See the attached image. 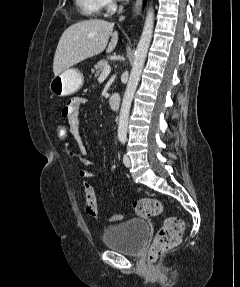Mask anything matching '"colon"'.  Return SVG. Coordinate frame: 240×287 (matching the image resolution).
Listing matches in <instances>:
<instances>
[{
	"mask_svg": "<svg viewBox=\"0 0 240 287\" xmlns=\"http://www.w3.org/2000/svg\"><path fill=\"white\" fill-rule=\"evenodd\" d=\"M55 135L66 155L76 153V143L71 133V127L66 121H61L55 128ZM85 178L83 175H81ZM86 179V178H85ZM85 210L93 218H100L94 188L84 183ZM135 212L142 217H155L164 212L163 204L154 198H141L133 203ZM121 215H113L110 221H120ZM184 224L174 215L166 217L163 226L157 232L148 252V261L155 264L166 252L176 247L182 240Z\"/></svg>",
	"mask_w": 240,
	"mask_h": 287,
	"instance_id": "5ec220e1",
	"label": "colon"
}]
</instances>
